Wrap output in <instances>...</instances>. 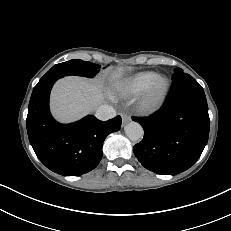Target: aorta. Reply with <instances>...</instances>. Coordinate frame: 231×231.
Wrapping results in <instances>:
<instances>
[{"label": "aorta", "mask_w": 231, "mask_h": 231, "mask_svg": "<svg viewBox=\"0 0 231 231\" xmlns=\"http://www.w3.org/2000/svg\"><path fill=\"white\" fill-rule=\"evenodd\" d=\"M127 137L134 142L140 141L143 138L144 131L142 126L137 122H130L125 127Z\"/></svg>", "instance_id": "762f6f07"}]
</instances>
